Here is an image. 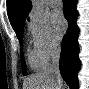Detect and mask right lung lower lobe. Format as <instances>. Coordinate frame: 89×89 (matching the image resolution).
<instances>
[{
  "label": "right lung lower lobe",
  "instance_id": "1",
  "mask_svg": "<svg viewBox=\"0 0 89 89\" xmlns=\"http://www.w3.org/2000/svg\"><path fill=\"white\" fill-rule=\"evenodd\" d=\"M76 3L77 0H63V12L69 27L62 41L59 63L61 75L71 89H78L77 75L81 66L78 58L79 44L77 38L79 28L76 25L78 17Z\"/></svg>",
  "mask_w": 89,
  "mask_h": 89
}]
</instances>
